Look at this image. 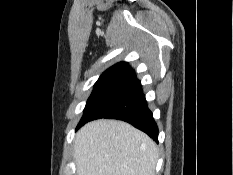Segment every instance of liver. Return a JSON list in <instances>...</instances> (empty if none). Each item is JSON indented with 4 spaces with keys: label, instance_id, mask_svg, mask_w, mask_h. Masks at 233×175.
Wrapping results in <instances>:
<instances>
[{
    "label": "liver",
    "instance_id": "obj_1",
    "mask_svg": "<svg viewBox=\"0 0 233 175\" xmlns=\"http://www.w3.org/2000/svg\"><path fill=\"white\" fill-rule=\"evenodd\" d=\"M77 175H155L157 146L145 133L117 120H96L76 134Z\"/></svg>",
    "mask_w": 233,
    "mask_h": 175
}]
</instances>
